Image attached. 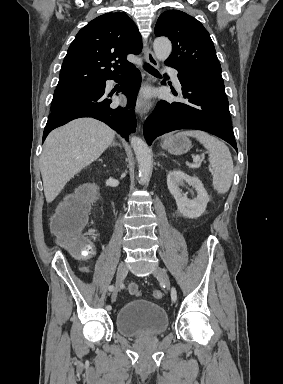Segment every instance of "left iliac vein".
Returning <instances> with one entry per match:
<instances>
[{
	"instance_id": "1",
	"label": "left iliac vein",
	"mask_w": 283,
	"mask_h": 384,
	"mask_svg": "<svg viewBox=\"0 0 283 384\" xmlns=\"http://www.w3.org/2000/svg\"><path fill=\"white\" fill-rule=\"evenodd\" d=\"M153 275L157 277L162 284L166 287L167 290H170V279L165 269L161 267H156L153 272Z\"/></svg>"
}]
</instances>
